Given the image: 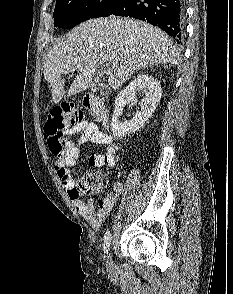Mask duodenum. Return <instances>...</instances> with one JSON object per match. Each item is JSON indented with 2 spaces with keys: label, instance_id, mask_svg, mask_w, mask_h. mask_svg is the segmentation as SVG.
<instances>
[{
  "label": "duodenum",
  "instance_id": "410a0bca",
  "mask_svg": "<svg viewBox=\"0 0 233 294\" xmlns=\"http://www.w3.org/2000/svg\"><path fill=\"white\" fill-rule=\"evenodd\" d=\"M83 105L90 114L103 126L109 125V113L104 103L94 94L86 93L83 97Z\"/></svg>",
  "mask_w": 233,
  "mask_h": 294
}]
</instances>
